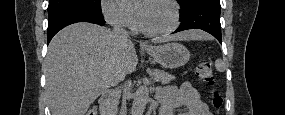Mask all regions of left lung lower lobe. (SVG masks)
<instances>
[{
    "label": "left lung lower lobe",
    "mask_w": 285,
    "mask_h": 115,
    "mask_svg": "<svg viewBox=\"0 0 285 115\" xmlns=\"http://www.w3.org/2000/svg\"><path fill=\"white\" fill-rule=\"evenodd\" d=\"M219 0H194L180 13L181 24L176 32L188 29H202L222 43Z\"/></svg>",
    "instance_id": "1"
}]
</instances>
